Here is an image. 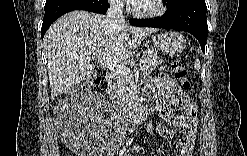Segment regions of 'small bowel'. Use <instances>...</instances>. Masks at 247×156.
Segmentation results:
<instances>
[{"label": "small bowel", "instance_id": "1", "mask_svg": "<svg viewBox=\"0 0 247 156\" xmlns=\"http://www.w3.org/2000/svg\"><path fill=\"white\" fill-rule=\"evenodd\" d=\"M147 94L163 101L164 104L159 111L160 120L170 122L181 129L182 135L177 145L179 155H191L196 137V105L190 102L189 97L173 79L163 73L151 80ZM171 108L176 111L175 115H172ZM148 132L155 139L171 138L170 131L163 124H150Z\"/></svg>", "mask_w": 247, "mask_h": 156}]
</instances>
